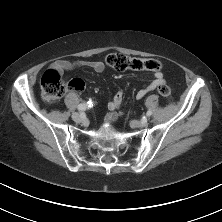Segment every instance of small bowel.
Here are the masks:
<instances>
[{"label": "small bowel", "mask_w": 222, "mask_h": 222, "mask_svg": "<svg viewBox=\"0 0 222 222\" xmlns=\"http://www.w3.org/2000/svg\"><path fill=\"white\" fill-rule=\"evenodd\" d=\"M52 69L57 70L60 73L65 71H72L79 68H89L97 73H101L104 71L105 66L101 61H91V60H77V61H69V60H57L52 63ZM165 80L163 74L161 72H156L153 76L152 82L146 86L145 88L137 91L135 97L136 99H142L148 93L156 90L159 86L164 85ZM124 93L122 90H118L112 99L108 102V113L106 115V121L113 122L116 121L121 113L118 111L122 101H123Z\"/></svg>", "instance_id": "small-bowel-1"}]
</instances>
